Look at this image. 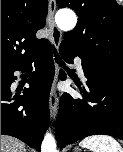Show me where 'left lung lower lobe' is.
<instances>
[{"label":"left lung lower lobe","instance_id":"1","mask_svg":"<svg viewBox=\"0 0 123 152\" xmlns=\"http://www.w3.org/2000/svg\"><path fill=\"white\" fill-rule=\"evenodd\" d=\"M61 57L67 63L78 56L62 43ZM86 89L80 88L82 99L64 93L56 120L58 147L91 135H110L123 140V71L98 67L82 59ZM61 80L66 75L61 71Z\"/></svg>","mask_w":123,"mask_h":152}]
</instances>
